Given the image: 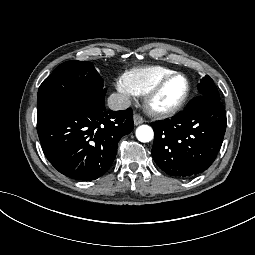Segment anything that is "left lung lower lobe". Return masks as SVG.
I'll use <instances>...</instances> for the list:
<instances>
[{"mask_svg": "<svg viewBox=\"0 0 255 255\" xmlns=\"http://www.w3.org/2000/svg\"><path fill=\"white\" fill-rule=\"evenodd\" d=\"M156 164L171 176L192 178L214 162L226 130L220 100L201 95L171 119L152 123Z\"/></svg>", "mask_w": 255, "mask_h": 255, "instance_id": "obj_1", "label": "left lung lower lobe"}]
</instances>
